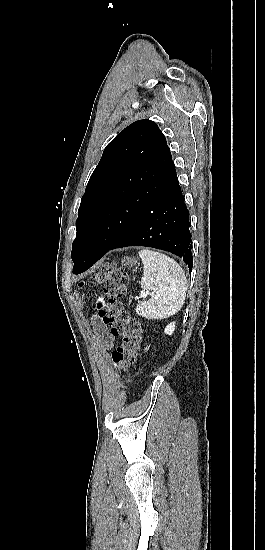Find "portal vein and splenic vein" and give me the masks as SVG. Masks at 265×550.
<instances>
[{"label": "portal vein and splenic vein", "mask_w": 265, "mask_h": 550, "mask_svg": "<svg viewBox=\"0 0 265 550\" xmlns=\"http://www.w3.org/2000/svg\"><path fill=\"white\" fill-rule=\"evenodd\" d=\"M147 294L146 293H141V297H146Z\"/></svg>", "instance_id": "18ae733b"}]
</instances>
